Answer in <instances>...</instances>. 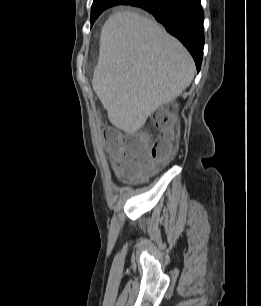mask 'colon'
I'll list each match as a JSON object with an SVG mask.
<instances>
[{"label":"colon","mask_w":261,"mask_h":306,"mask_svg":"<svg viewBox=\"0 0 261 306\" xmlns=\"http://www.w3.org/2000/svg\"><path fill=\"white\" fill-rule=\"evenodd\" d=\"M154 123L159 133L150 147L148 136L144 133L131 134L121 143L117 142L115 135L108 138V149L111 152L120 148L127 159L138 162H144L148 156L146 167L142 170L124 167L120 170L121 175L129 179H143L173 157L177 135L175 115L167 109H159L154 115Z\"/></svg>","instance_id":"obj_1"}]
</instances>
